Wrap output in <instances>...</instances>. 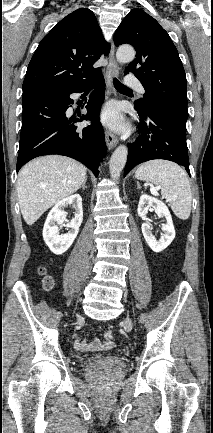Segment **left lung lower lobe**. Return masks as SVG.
<instances>
[{
	"label": "left lung lower lobe",
	"mask_w": 213,
	"mask_h": 433,
	"mask_svg": "<svg viewBox=\"0 0 213 433\" xmlns=\"http://www.w3.org/2000/svg\"><path fill=\"white\" fill-rule=\"evenodd\" d=\"M140 117V137L128 145L126 176L137 164L153 159L176 162L189 171L186 144V121L188 116L170 107L151 106L144 109L135 104Z\"/></svg>",
	"instance_id": "1"
}]
</instances>
